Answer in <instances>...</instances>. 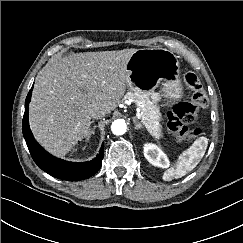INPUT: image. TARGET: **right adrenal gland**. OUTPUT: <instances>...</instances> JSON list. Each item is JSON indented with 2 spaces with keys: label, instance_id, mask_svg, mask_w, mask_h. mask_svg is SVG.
I'll return each mask as SVG.
<instances>
[{
  "label": "right adrenal gland",
  "instance_id": "1",
  "mask_svg": "<svg viewBox=\"0 0 243 243\" xmlns=\"http://www.w3.org/2000/svg\"><path fill=\"white\" fill-rule=\"evenodd\" d=\"M91 123H93V122L91 121L90 124H91ZM93 133H94V128H93L92 130H89V131H88L87 135L85 136L86 141L89 140L91 134H93Z\"/></svg>",
  "mask_w": 243,
  "mask_h": 243
}]
</instances>
